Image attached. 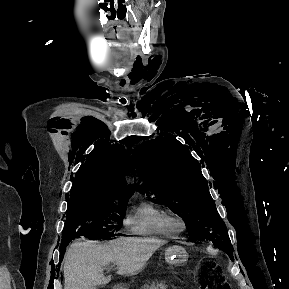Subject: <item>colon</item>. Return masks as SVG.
<instances>
[{
    "mask_svg": "<svg viewBox=\"0 0 289 289\" xmlns=\"http://www.w3.org/2000/svg\"><path fill=\"white\" fill-rule=\"evenodd\" d=\"M196 283L201 289H230L229 283L221 279L216 266L212 263H207L198 269L196 273Z\"/></svg>",
    "mask_w": 289,
    "mask_h": 289,
    "instance_id": "colon-1",
    "label": "colon"
}]
</instances>
